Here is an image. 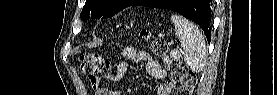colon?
Masks as SVG:
<instances>
[{"label":"colon","instance_id":"obj_1","mask_svg":"<svg viewBox=\"0 0 277 95\" xmlns=\"http://www.w3.org/2000/svg\"><path fill=\"white\" fill-rule=\"evenodd\" d=\"M141 37L148 42L149 49L153 54L167 60L168 71L180 83V86L174 94L191 95L197 83L196 74L182 62L167 58L168 50L164 39L152 38L147 30L141 31ZM80 60L81 71L90 79H93L98 74L103 72L108 66L106 58L99 54H85L81 56Z\"/></svg>","mask_w":277,"mask_h":95}]
</instances>
